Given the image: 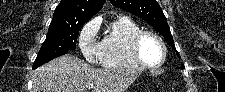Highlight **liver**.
I'll return each instance as SVG.
<instances>
[{"instance_id": "liver-1", "label": "liver", "mask_w": 225, "mask_h": 92, "mask_svg": "<svg viewBox=\"0 0 225 92\" xmlns=\"http://www.w3.org/2000/svg\"><path fill=\"white\" fill-rule=\"evenodd\" d=\"M135 69H95L66 54L34 71L32 92H124L139 76Z\"/></svg>"}]
</instances>
